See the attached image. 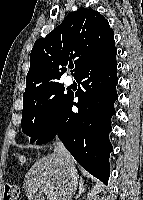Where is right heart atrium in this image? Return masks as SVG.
<instances>
[{
    "instance_id": "right-heart-atrium-1",
    "label": "right heart atrium",
    "mask_w": 143,
    "mask_h": 200,
    "mask_svg": "<svg viewBox=\"0 0 143 200\" xmlns=\"http://www.w3.org/2000/svg\"><path fill=\"white\" fill-rule=\"evenodd\" d=\"M53 118V110L51 107H46L43 111V120L45 123L51 122Z\"/></svg>"
}]
</instances>
